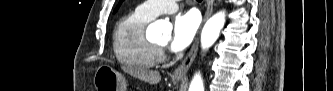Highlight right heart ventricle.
<instances>
[{
	"label": "right heart ventricle",
	"instance_id": "right-heart-ventricle-1",
	"mask_svg": "<svg viewBox=\"0 0 333 91\" xmlns=\"http://www.w3.org/2000/svg\"><path fill=\"white\" fill-rule=\"evenodd\" d=\"M151 18L135 10L120 19L113 34L117 60L130 69H148L157 63L156 50L144 34Z\"/></svg>",
	"mask_w": 333,
	"mask_h": 91
}]
</instances>
